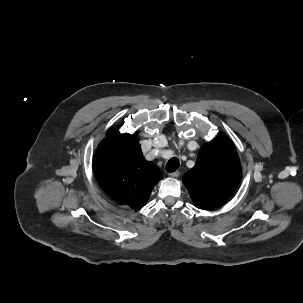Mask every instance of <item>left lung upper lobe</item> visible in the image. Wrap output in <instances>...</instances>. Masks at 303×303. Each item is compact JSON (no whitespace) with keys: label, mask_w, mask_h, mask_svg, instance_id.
Here are the masks:
<instances>
[{"label":"left lung upper lobe","mask_w":303,"mask_h":303,"mask_svg":"<svg viewBox=\"0 0 303 303\" xmlns=\"http://www.w3.org/2000/svg\"><path fill=\"white\" fill-rule=\"evenodd\" d=\"M242 171L232 144L220 137L204 145L195 166L183 176L194 205L212 209L228 199L237 188Z\"/></svg>","instance_id":"left-lung-upper-lobe-1"}]
</instances>
